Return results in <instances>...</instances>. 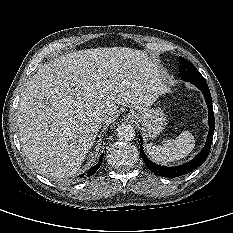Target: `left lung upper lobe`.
I'll return each mask as SVG.
<instances>
[{"instance_id": "obj_1", "label": "left lung upper lobe", "mask_w": 233, "mask_h": 233, "mask_svg": "<svg viewBox=\"0 0 233 233\" xmlns=\"http://www.w3.org/2000/svg\"><path fill=\"white\" fill-rule=\"evenodd\" d=\"M180 77L187 82H204L206 81L200 72L187 59L180 57Z\"/></svg>"}]
</instances>
